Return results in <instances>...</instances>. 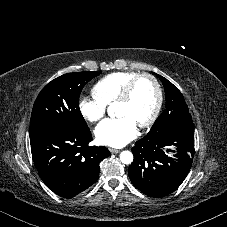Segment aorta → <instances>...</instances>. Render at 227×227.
Listing matches in <instances>:
<instances>
[{
  "mask_svg": "<svg viewBox=\"0 0 227 227\" xmlns=\"http://www.w3.org/2000/svg\"><path fill=\"white\" fill-rule=\"evenodd\" d=\"M120 161L124 164H130L133 161V154L130 151H123L120 154Z\"/></svg>",
  "mask_w": 227,
  "mask_h": 227,
  "instance_id": "aorta-1",
  "label": "aorta"
}]
</instances>
